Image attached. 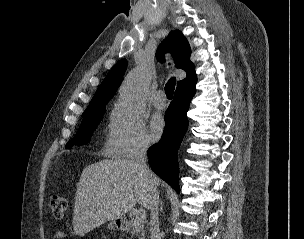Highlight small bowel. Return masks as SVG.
<instances>
[{
    "label": "small bowel",
    "mask_w": 304,
    "mask_h": 239,
    "mask_svg": "<svg viewBox=\"0 0 304 239\" xmlns=\"http://www.w3.org/2000/svg\"><path fill=\"white\" fill-rule=\"evenodd\" d=\"M65 233L63 231H57L53 235V239H63L65 238Z\"/></svg>",
    "instance_id": "obj_1"
}]
</instances>
